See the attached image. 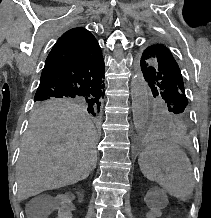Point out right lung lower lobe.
<instances>
[{"label": "right lung lower lobe", "instance_id": "98d812e1", "mask_svg": "<svg viewBox=\"0 0 211 218\" xmlns=\"http://www.w3.org/2000/svg\"><path fill=\"white\" fill-rule=\"evenodd\" d=\"M105 65L102 54L66 64L42 73L35 98L104 97Z\"/></svg>", "mask_w": 211, "mask_h": 218}]
</instances>
